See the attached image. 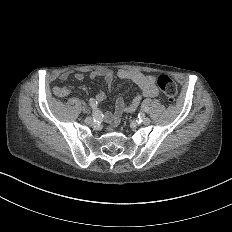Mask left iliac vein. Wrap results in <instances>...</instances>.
Listing matches in <instances>:
<instances>
[{
	"label": "left iliac vein",
	"instance_id": "1",
	"mask_svg": "<svg viewBox=\"0 0 232 232\" xmlns=\"http://www.w3.org/2000/svg\"><path fill=\"white\" fill-rule=\"evenodd\" d=\"M151 123V120L149 118H144L143 119V124L144 125H149Z\"/></svg>",
	"mask_w": 232,
	"mask_h": 232
}]
</instances>
